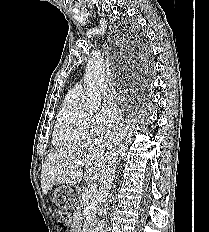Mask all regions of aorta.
Masks as SVG:
<instances>
[{
    "label": "aorta",
    "instance_id": "obj_1",
    "mask_svg": "<svg viewBox=\"0 0 209 232\" xmlns=\"http://www.w3.org/2000/svg\"><path fill=\"white\" fill-rule=\"evenodd\" d=\"M105 64L99 53H94L86 64V97L81 106L89 112L98 109L101 96L105 91ZM95 232H105V222L100 221Z\"/></svg>",
    "mask_w": 209,
    "mask_h": 232
}]
</instances>
